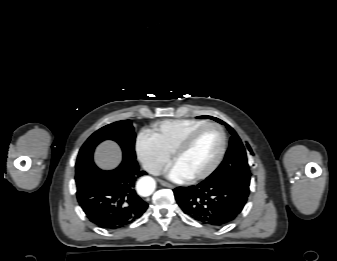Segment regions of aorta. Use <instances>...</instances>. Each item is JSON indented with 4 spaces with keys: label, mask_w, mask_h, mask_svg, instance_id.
<instances>
[{
    "label": "aorta",
    "mask_w": 337,
    "mask_h": 261,
    "mask_svg": "<svg viewBox=\"0 0 337 261\" xmlns=\"http://www.w3.org/2000/svg\"><path fill=\"white\" fill-rule=\"evenodd\" d=\"M156 188L155 180L149 176L141 177L137 184L136 189L141 196H150Z\"/></svg>",
    "instance_id": "1"
}]
</instances>
